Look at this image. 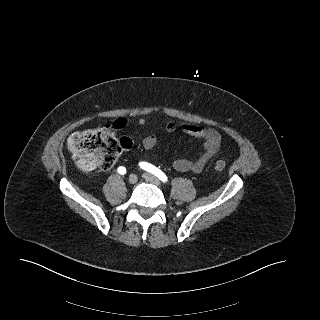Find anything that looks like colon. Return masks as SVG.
I'll return each mask as SVG.
<instances>
[{"label":"colon","instance_id":"1","mask_svg":"<svg viewBox=\"0 0 320 320\" xmlns=\"http://www.w3.org/2000/svg\"><path fill=\"white\" fill-rule=\"evenodd\" d=\"M115 126L102 125L73 133L68 139V148L78 166L84 171L95 169L108 170L118 159L121 150L131 148L132 141L128 137L117 138ZM225 161L218 159L215 169H225Z\"/></svg>","mask_w":320,"mask_h":320}]
</instances>
